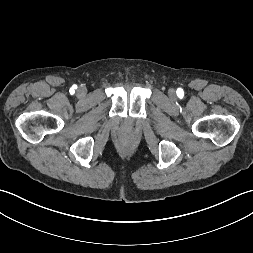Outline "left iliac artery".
I'll list each match as a JSON object with an SVG mask.
<instances>
[{
	"mask_svg": "<svg viewBox=\"0 0 253 253\" xmlns=\"http://www.w3.org/2000/svg\"><path fill=\"white\" fill-rule=\"evenodd\" d=\"M177 95H178L179 97H182V96L184 95L183 89L178 88V89H177Z\"/></svg>",
	"mask_w": 253,
	"mask_h": 253,
	"instance_id": "1",
	"label": "left iliac artery"
}]
</instances>
